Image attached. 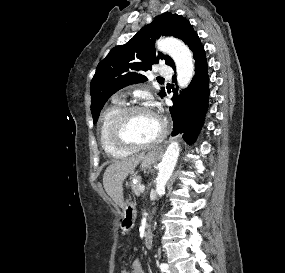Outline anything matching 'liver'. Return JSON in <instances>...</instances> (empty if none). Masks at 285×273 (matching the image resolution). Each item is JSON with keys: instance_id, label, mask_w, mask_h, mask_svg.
Masks as SVG:
<instances>
[{"instance_id": "1", "label": "liver", "mask_w": 285, "mask_h": 273, "mask_svg": "<svg viewBox=\"0 0 285 273\" xmlns=\"http://www.w3.org/2000/svg\"><path fill=\"white\" fill-rule=\"evenodd\" d=\"M144 153L130 158L117 160L109 165L103 175V185L106 193L113 201L124 208L123 181L127 175L143 160Z\"/></svg>"}]
</instances>
